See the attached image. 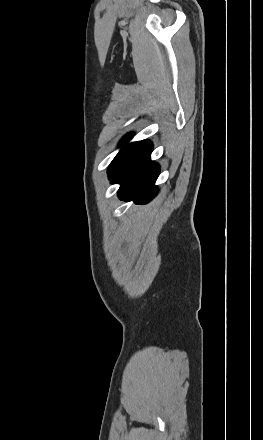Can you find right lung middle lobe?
Wrapping results in <instances>:
<instances>
[{
  "instance_id": "obj_1",
  "label": "right lung middle lobe",
  "mask_w": 263,
  "mask_h": 440,
  "mask_svg": "<svg viewBox=\"0 0 263 440\" xmlns=\"http://www.w3.org/2000/svg\"><path fill=\"white\" fill-rule=\"evenodd\" d=\"M132 138V134L126 135L120 142L121 145H124ZM138 142L130 143L124 146L120 152L113 159L108 168L109 177L117 170V168L124 162V160L128 157V155L132 152Z\"/></svg>"
}]
</instances>
